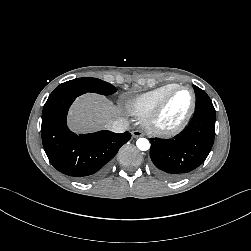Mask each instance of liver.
I'll list each match as a JSON object with an SVG mask.
<instances>
[{
    "mask_svg": "<svg viewBox=\"0 0 251 251\" xmlns=\"http://www.w3.org/2000/svg\"><path fill=\"white\" fill-rule=\"evenodd\" d=\"M121 109L106 97L86 94L78 98L69 113V125L76 132H91L100 128H110L119 118Z\"/></svg>",
    "mask_w": 251,
    "mask_h": 251,
    "instance_id": "liver-1",
    "label": "liver"
}]
</instances>
